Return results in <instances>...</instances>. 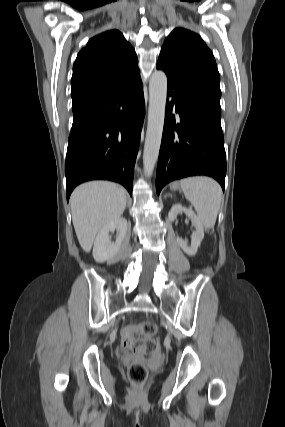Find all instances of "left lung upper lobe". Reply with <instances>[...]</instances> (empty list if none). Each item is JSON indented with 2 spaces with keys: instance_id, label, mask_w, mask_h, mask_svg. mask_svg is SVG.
I'll return each instance as SVG.
<instances>
[{
  "instance_id": "left-lung-upper-lobe-1",
  "label": "left lung upper lobe",
  "mask_w": 285,
  "mask_h": 427,
  "mask_svg": "<svg viewBox=\"0 0 285 427\" xmlns=\"http://www.w3.org/2000/svg\"><path fill=\"white\" fill-rule=\"evenodd\" d=\"M157 68L165 71L168 79L220 103V76L214 56L196 33L174 29L161 48Z\"/></svg>"
}]
</instances>
